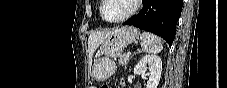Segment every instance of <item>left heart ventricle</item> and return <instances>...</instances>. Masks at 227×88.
I'll use <instances>...</instances> for the list:
<instances>
[{
  "label": "left heart ventricle",
  "mask_w": 227,
  "mask_h": 88,
  "mask_svg": "<svg viewBox=\"0 0 227 88\" xmlns=\"http://www.w3.org/2000/svg\"><path fill=\"white\" fill-rule=\"evenodd\" d=\"M131 7L130 0H109L103 12L107 19L113 20L127 14Z\"/></svg>",
  "instance_id": "left-heart-ventricle-1"
}]
</instances>
